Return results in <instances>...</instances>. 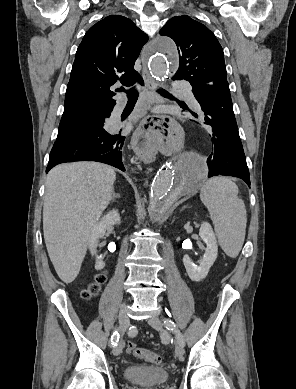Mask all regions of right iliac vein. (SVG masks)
<instances>
[{
  "instance_id": "1",
  "label": "right iliac vein",
  "mask_w": 296,
  "mask_h": 389,
  "mask_svg": "<svg viewBox=\"0 0 296 389\" xmlns=\"http://www.w3.org/2000/svg\"><path fill=\"white\" fill-rule=\"evenodd\" d=\"M119 319V328L121 332L125 331L127 327L129 326V318L127 315V307L126 305H123L119 311L118 315ZM122 352V342L120 341L113 349V354L118 356Z\"/></svg>"
}]
</instances>
